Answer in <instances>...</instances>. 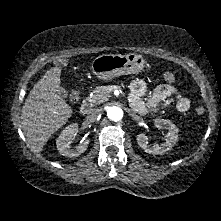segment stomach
<instances>
[{
    "label": "stomach",
    "instance_id": "0dacf381",
    "mask_svg": "<svg viewBox=\"0 0 221 221\" xmlns=\"http://www.w3.org/2000/svg\"><path fill=\"white\" fill-rule=\"evenodd\" d=\"M145 67V60L140 54H106L92 61V72L101 80H111L117 76L138 73Z\"/></svg>",
    "mask_w": 221,
    "mask_h": 221
}]
</instances>
